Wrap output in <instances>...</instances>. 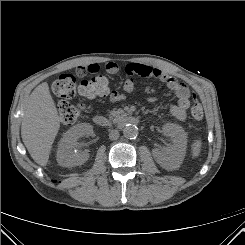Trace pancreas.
<instances>
[{
    "mask_svg": "<svg viewBox=\"0 0 245 245\" xmlns=\"http://www.w3.org/2000/svg\"><path fill=\"white\" fill-rule=\"evenodd\" d=\"M123 114V111L122 110H120V109H118V110H112L111 112H110V119H114V118H118V117H120V115H122Z\"/></svg>",
    "mask_w": 245,
    "mask_h": 245,
    "instance_id": "1",
    "label": "pancreas"
}]
</instances>
